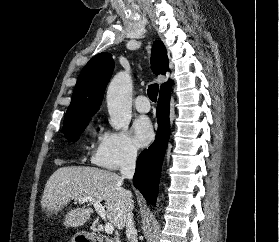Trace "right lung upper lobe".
Wrapping results in <instances>:
<instances>
[{"label": "right lung upper lobe", "instance_id": "obj_1", "mask_svg": "<svg viewBox=\"0 0 279 242\" xmlns=\"http://www.w3.org/2000/svg\"><path fill=\"white\" fill-rule=\"evenodd\" d=\"M151 65L155 74L169 71L167 51L161 41L152 48ZM114 61L110 53L94 56L78 76L71 103L64 117V125L79 123L90 118L99 109L106 85L111 77ZM172 81L161 85L160 93L171 89Z\"/></svg>", "mask_w": 279, "mask_h": 242}]
</instances>
